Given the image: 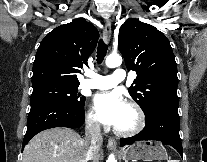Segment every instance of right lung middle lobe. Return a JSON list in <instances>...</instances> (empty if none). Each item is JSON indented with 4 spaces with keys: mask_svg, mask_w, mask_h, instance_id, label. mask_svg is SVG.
<instances>
[{
    "mask_svg": "<svg viewBox=\"0 0 207 162\" xmlns=\"http://www.w3.org/2000/svg\"><path fill=\"white\" fill-rule=\"evenodd\" d=\"M78 85L47 84L33 88L31 101L57 99L72 107H83L85 97L78 93Z\"/></svg>",
    "mask_w": 207,
    "mask_h": 162,
    "instance_id": "dd1d6c3e",
    "label": "right lung middle lobe"
}]
</instances>
